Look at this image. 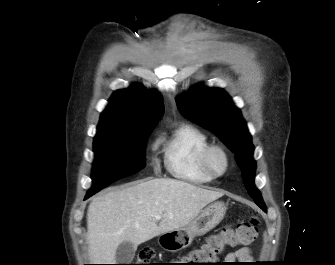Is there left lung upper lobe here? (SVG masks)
I'll list each match as a JSON object with an SVG mask.
<instances>
[{"mask_svg": "<svg viewBox=\"0 0 335 265\" xmlns=\"http://www.w3.org/2000/svg\"><path fill=\"white\" fill-rule=\"evenodd\" d=\"M183 115L215 133L235 153L236 162L249 195L266 211V205L254 185L256 162L252 155L254 146L241 112L222 89L197 85L188 93L176 98Z\"/></svg>", "mask_w": 335, "mask_h": 265, "instance_id": "5c2ea615", "label": "left lung upper lobe"}]
</instances>
